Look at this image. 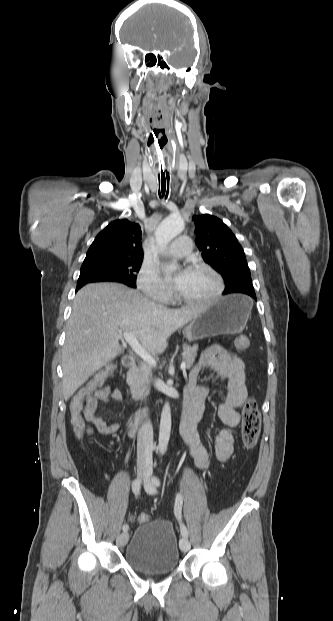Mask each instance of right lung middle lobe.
Returning a JSON list of instances; mask_svg holds the SVG:
<instances>
[{
    "mask_svg": "<svg viewBox=\"0 0 333 621\" xmlns=\"http://www.w3.org/2000/svg\"><path fill=\"white\" fill-rule=\"evenodd\" d=\"M142 259L130 258H104L96 260H84L78 284L90 282L112 281L135 287V282Z\"/></svg>",
    "mask_w": 333,
    "mask_h": 621,
    "instance_id": "obj_1",
    "label": "right lung middle lobe"
}]
</instances>
